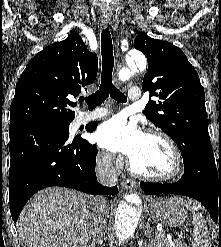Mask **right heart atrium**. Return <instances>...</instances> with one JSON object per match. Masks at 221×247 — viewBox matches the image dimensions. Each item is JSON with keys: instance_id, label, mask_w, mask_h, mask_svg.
<instances>
[{"instance_id": "obj_1", "label": "right heart atrium", "mask_w": 221, "mask_h": 247, "mask_svg": "<svg viewBox=\"0 0 221 247\" xmlns=\"http://www.w3.org/2000/svg\"><path fill=\"white\" fill-rule=\"evenodd\" d=\"M99 159L103 165H108L112 159L111 155L107 152H102L99 155Z\"/></svg>"}]
</instances>
